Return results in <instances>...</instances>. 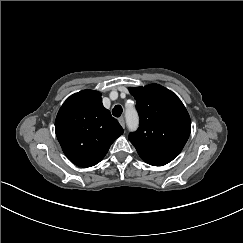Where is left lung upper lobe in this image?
I'll use <instances>...</instances> for the list:
<instances>
[{"label": "left lung upper lobe", "mask_w": 243, "mask_h": 243, "mask_svg": "<svg viewBox=\"0 0 243 243\" xmlns=\"http://www.w3.org/2000/svg\"><path fill=\"white\" fill-rule=\"evenodd\" d=\"M140 116L138 130L129 135L139 156L148 164L172 161L186 144L191 121L180 99L158 84L129 88Z\"/></svg>", "instance_id": "5c2ea615"}]
</instances>
